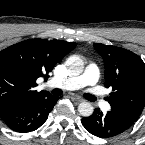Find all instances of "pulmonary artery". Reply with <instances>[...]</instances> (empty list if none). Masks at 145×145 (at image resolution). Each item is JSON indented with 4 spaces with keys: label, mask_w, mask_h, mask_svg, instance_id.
Wrapping results in <instances>:
<instances>
[{
    "label": "pulmonary artery",
    "mask_w": 145,
    "mask_h": 145,
    "mask_svg": "<svg viewBox=\"0 0 145 145\" xmlns=\"http://www.w3.org/2000/svg\"><path fill=\"white\" fill-rule=\"evenodd\" d=\"M99 76L100 73L97 65L89 63L82 75L63 79H53L50 84L62 89L75 90L83 86H95L98 83ZM94 95L96 96L97 93H94ZM100 104L106 110L110 108V105L105 101H101Z\"/></svg>",
    "instance_id": "obj_1"
}]
</instances>
